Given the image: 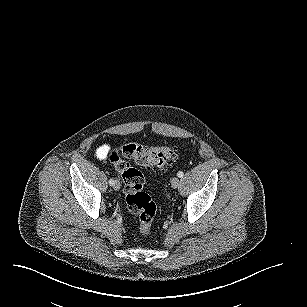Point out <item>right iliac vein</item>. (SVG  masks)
Masks as SVG:
<instances>
[{"label": "right iliac vein", "instance_id": "right-iliac-vein-1", "mask_svg": "<svg viewBox=\"0 0 307 307\" xmlns=\"http://www.w3.org/2000/svg\"><path fill=\"white\" fill-rule=\"evenodd\" d=\"M120 182H119V180H115V183H114V185H113V188L115 189V190H119L120 189Z\"/></svg>", "mask_w": 307, "mask_h": 307}]
</instances>
